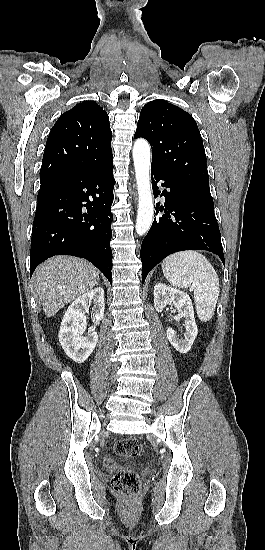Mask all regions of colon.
<instances>
[{
  "label": "colon",
  "instance_id": "colon-1",
  "mask_svg": "<svg viewBox=\"0 0 265 550\" xmlns=\"http://www.w3.org/2000/svg\"><path fill=\"white\" fill-rule=\"evenodd\" d=\"M142 447L140 440L128 438L117 441L114 451L119 456L132 458L140 454ZM111 486L117 494L125 498H133L139 492L140 480L132 470H119L113 475Z\"/></svg>",
  "mask_w": 265,
  "mask_h": 550
}]
</instances>
